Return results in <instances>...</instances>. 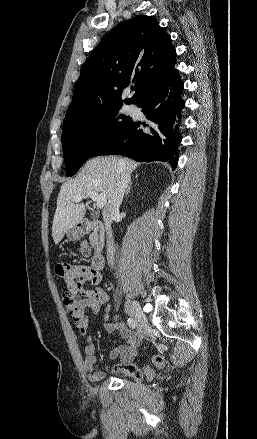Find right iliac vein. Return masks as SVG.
Masks as SVG:
<instances>
[{
  "label": "right iliac vein",
  "instance_id": "63e3f726",
  "mask_svg": "<svg viewBox=\"0 0 257 439\" xmlns=\"http://www.w3.org/2000/svg\"><path fill=\"white\" fill-rule=\"evenodd\" d=\"M125 309L128 315L134 318L139 324V338L143 339L146 328H147V318L144 313L138 307L136 301L127 300L125 304Z\"/></svg>",
  "mask_w": 257,
  "mask_h": 439
}]
</instances>
